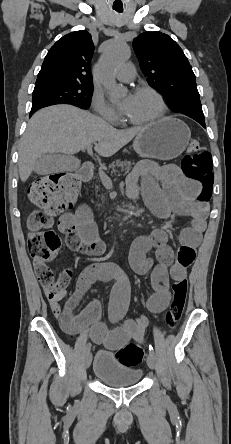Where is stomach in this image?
I'll return each instance as SVG.
<instances>
[{
	"label": "stomach",
	"mask_w": 231,
	"mask_h": 444,
	"mask_svg": "<svg viewBox=\"0 0 231 444\" xmlns=\"http://www.w3.org/2000/svg\"><path fill=\"white\" fill-rule=\"evenodd\" d=\"M190 138V129L184 122L166 117L146 126L135 137L133 148L141 157L170 160L186 149Z\"/></svg>",
	"instance_id": "obj_1"
}]
</instances>
